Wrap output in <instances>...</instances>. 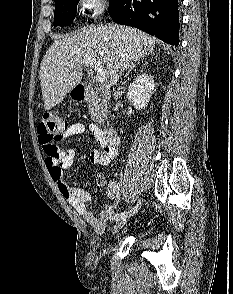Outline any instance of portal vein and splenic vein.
I'll return each instance as SVG.
<instances>
[{
	"mask_svg": "<svg viewBox=\"0 0 233 294\" xmlns=\"http://www.w3.org/2000/svg\"><path fill=\"white\" fill-rule=\"evenodd\" d=\"M81 65L85 67H91L97 71V81L99 83H104L108 78V72L104 69L102 63L96 59H84Z\"/></svg>",
	"mask_w": 233,
	"mask_h": 294,
	"instance_id": "portal-vein-and-splenic-vein-1",
	"label": "portal vein and splenic vein"
}]
</instances>
